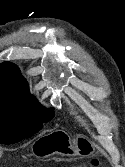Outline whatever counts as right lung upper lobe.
<instances>
[{"mask_svg": "<svg viewBox=\"0 0 125 167\" xmlns=\"http://www.w3.org/2000/svg\"><path fill=\"white\" fill-rule=\"evenodd\" d=\"M0 96L16 99L33 98L27 81L20 74L19 68L13 63L0 64Z\"/></svg>", "mask_w": 125, "mask_h": 167, "instance_id": "1", "label": "right lung upper lobe"}]
</instances>
